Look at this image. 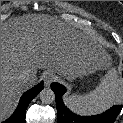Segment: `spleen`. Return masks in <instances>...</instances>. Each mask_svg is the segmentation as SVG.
I'll list each match as a JSON object with an SVG mask.
<instances>
[{
  "instance_id": "spleen-1",
  "label": "spleen",
  "mask_w": 123,
  "mask_h": 123,
  "mask_svg": "<svg viewBox=\"0 0 123 123\" xmlns=\"http://www.w3.org/2000/svg\"><path fill=\"white\" fill-rule=\"evenodd\" d=\"M122 80L115 68L107 71L100 84L90 93L70 95L65 98L67 106L79 115L100 114L117 102Z\"/></svg>"
}]
</instances>
